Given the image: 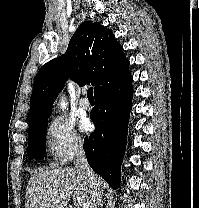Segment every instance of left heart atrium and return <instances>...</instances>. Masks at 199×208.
<instances>
[{"mask_svg":"<svg viewBox=\"0 0 199 208\" xmlns=\"http://www.w3.org/2000/svg\"><path fill=\"white\" fill-rule=\"evenodd\" d=\"M80 126L84 132L91 131L93 127L91 121L86 117L81 119Z\"/></svg>","mask_w":199,"mask_h":208,"instance_id":"39dd6f15","label":"left heart atrium"}]
</instances>
